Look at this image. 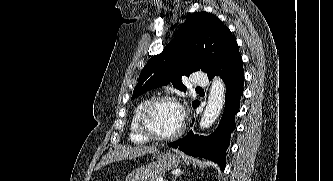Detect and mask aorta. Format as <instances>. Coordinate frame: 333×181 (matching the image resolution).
<instances>
[{
  "mask_svg": "<svg viewBox=\"0 0 333 181\" xmlns=\"http://www.w3.org/2000/svg\"><path fill=\"white\" fill-rule=\"evenodd\" d=\"M225 100V85L223 81L216 77L213 79L208 103L200 120V128H209L219 117Z\"/></svg>",
  "mask_w": 333,
  "mask_h": 181,
  "instance_id": "762f6f07",
  "label": "aorta"
}]
</instances>
